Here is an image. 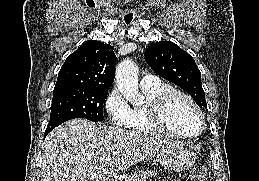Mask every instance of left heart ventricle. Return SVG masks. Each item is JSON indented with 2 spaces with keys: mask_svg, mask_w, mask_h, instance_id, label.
<instances>
[{
  "mask_svg": "<svg viewBox=\"0 0 259 181\" xmlns=\"http://www.w3.org/2000/svg\"><path fill=\"white\" fill-rule=\"evenodd\" d=\"M166 122L176 132L195 134L200 127V120L192 105L181 97H176L166 111Z\"/></svg>",
  "mask_w": 259,
  "mask_h": 181,
  "instance_id": "obj_1",
  "label": "left heart ventricle"
}]
</instances>
